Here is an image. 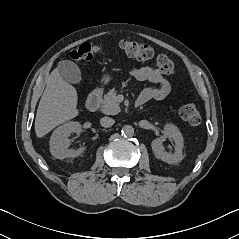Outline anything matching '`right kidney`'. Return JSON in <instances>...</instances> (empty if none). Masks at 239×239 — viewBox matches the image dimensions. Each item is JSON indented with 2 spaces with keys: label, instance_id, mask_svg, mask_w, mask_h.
Returning <instances> with one entry per match:
<instances>
[{
  "label": "right kidney",
  "instance_id": "right-kidney-1",
  "mask_svg": "<svg viewBox=\"0 0 239 239\" xmlns=\"http://www.w3.org/2000/svg\"><path fill=\"white\" fill-rule=\"evenodd\" d=\"M81 131V124L74 121L67 122L56 128L49 141L51 154L57 159L79 156L85 150V147L77 150L68 149L70 145L68 137L72 133L80 134Z\"/></svg>",
  "mask_w": 239,
  "mask_h": 239
}]
</instances>
